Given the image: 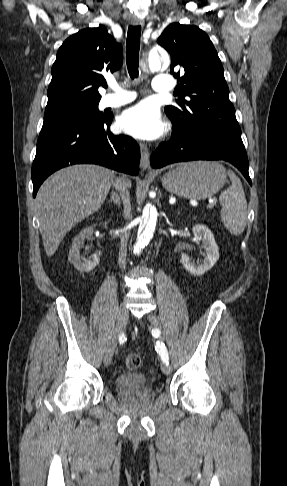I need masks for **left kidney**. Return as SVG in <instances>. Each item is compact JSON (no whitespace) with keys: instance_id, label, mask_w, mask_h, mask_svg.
Here are the masks:
<instances>
[{"instance_id":"obj_1","label":"left kidney","mask_w":287,"mask_h":486,"mask_svg":"<svg viewBox=\"0 0 287 486\" xmlns=\"http://www.w3.org/2000/svg\"><path fill=\"white\" fill-rule=\"evenodd\" d=\"M192 231L196 241L202 242V246L205 248V257L202 261L193 263L190 257L183 253L180 262L191 274L201 276L217 262L219 259V249L213 233L206 225L196 224Z\"/></svg>"}]
</instances>
